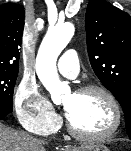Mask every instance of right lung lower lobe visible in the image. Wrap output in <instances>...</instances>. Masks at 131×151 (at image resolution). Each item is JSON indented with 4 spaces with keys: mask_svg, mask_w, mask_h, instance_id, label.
<instances>
[{
    "mask_svg": "<svg viewBox=\"0 0 131 151\" xmlns=\"http://www.w3.org/2000/svg\"><path fill=\"white\" fill-rule=\"evenodd\" d=\"M9 114V112L0 111V118L5 117Z\"/></svg>",
    "mask_w": 131,
    "mask_h": 151,
    "instance_id": "obj_1",
    "label": "right lung lower lobe"
}]
</instances>
